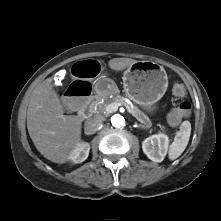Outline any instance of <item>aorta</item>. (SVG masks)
Wrapping results in <instances>:
<instances>
[{
  "label": "aorta",
  "mask_w": 221,
  "mask_h": 221,
  "mask_svg": "<svg viewBox=\"0 0 221 221\" xmlns=\"http://www.w3.org/2000/svg\"><path fill=\"white\" fill-rule=\"evenodd\" d=\"M111 123L114 127L120 128L125 125V119L123 116L115 114L114 116L111 117Z\"/></svg>",
  "instance_id": "1"
}]
</instances>
